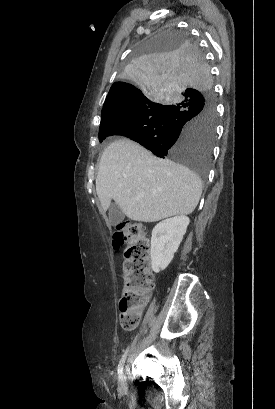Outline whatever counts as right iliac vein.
I'll use <instances>...</instances> for the list:
<instances>
[{"instance_id": "right-iliac-vein-1", "label": "right iliac vein", "mask_w": 275, "mask_h": 409, "mask_svg": "<svg viewBox=\"0 0 275 409\" xmlns=\"http://www.w3.org/2000/svg\"><path fill=\"white\" fill-rule=\"evenodd\" d=\"M119 385L121 388H125L127 386V380H126L125 375L120 376Z\"/></svg>"}]
</instances>
